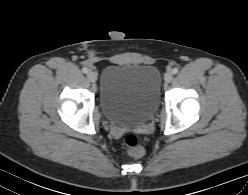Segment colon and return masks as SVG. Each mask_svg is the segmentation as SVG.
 <instances>
[{
    "instance_id": "5ec220e1",
    "label": "colon",
    "mask_w": 248,
    "mask_h": 195,
    "mask_svg": "<svg viewBox=\"0 0 248 195\" xmlns=\"http://www.w3.org/2000/svg\"><path fill=\"white\" fill-rule=\"evenodd\" d=\"M125 152L130 156L139 157L144 152L143 142L140 137L134 134H128L123 139Z\"/></svg>"
}]
</instances>
